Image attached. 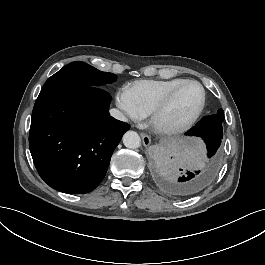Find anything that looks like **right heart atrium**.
Here are the masks:
<instances>
[{
	"label": "right heart atrium",
	"instance_id": "1",
	"mask_svg": "<svg viewBox=\"0 0 265 265\" xmlns=\"http://www.w3.org/2000/svg\"><path fill=\"white\" fill-rule=\"evenodd\" d=\"M115 98L118 103V109L127 124L136 125L144 122L145 113L138 110L133 100V93L129 87H118L115 91Z\"/></svg>",
	"mask_w": 265,
	"mask_h": 265
}]
</instances>
